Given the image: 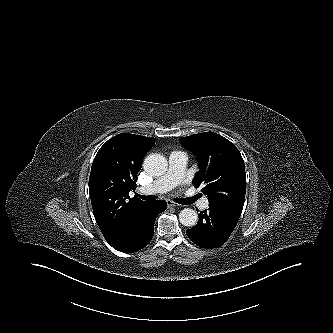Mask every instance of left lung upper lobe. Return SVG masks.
<instances>
[{
    "label": "left lung upper lobe",
    "instance_id": "5c2ea615",
    "mask_svg": "<svg viewBox=\"0 0 333 333\" xmlns=\"http://www.w3.org/2000/svg\"><path fill=\"white\" fill-rule=\"evenodd\" d=\"M179 141L199 161L200 171L193 179L194 187H203L209 204L240 217L245 200L246 173L244 160L236 146L213 132L182 137Z\"/></svg>",
    "mask_w": 333,
    "mask_h": 333
}]
</instances>
